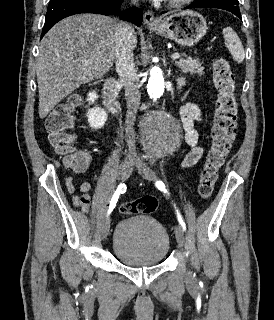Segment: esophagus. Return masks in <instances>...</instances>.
<instances>
[{"label":"esophagus","mask_w":274,"mask_h":320,"mask_svg":"<svg viewBox=\"0 0 274 320\" xmlns=\"http://www.w3.org/2000/svg\"><path fill=\"white\" fill-rule=\"evenodd\" d=\"M143 22L149 26H154V25H157L158 23L157 20L154 18L153 13L150 12L149 10H147L144 13Z\"/></svg>","instance_id":"1"}]
</instances>
